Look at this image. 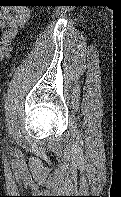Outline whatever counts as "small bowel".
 <instances>
[{
    "instance_id": "obj_1",
    "label": "small bowel",
    "mask_w": 121,
    "mask_h": 197,
    "mask_svg": "<svg viewBox=\"0 0 121 197\" xmlns=\"http://www.w3.org/2000/svg\"><path fill=\"white\" fill-rule=\"evenodd\" d=\"M28 19V11L22 5H1L0 29H4L0 39V59L9 56V44L15 38L18 31L25 25Z\"/></svg>"
}]
</instances>
